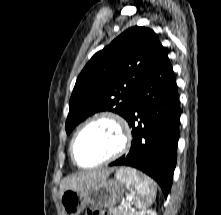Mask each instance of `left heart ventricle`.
Masks as SVG:
<instances>
[{"label": "left heart ventricle", "mask_w": 221, "mask_h": 215, "mask_svg": "<svg viewBox=\"0 0 221 215\" xmlns=\"http://www.w3.org/2000/svg\"><path fill=\"white\" fill-rule=\"evenodd\" d=\"M121 137L118 128L109 121H97L85 128L75 142V155L82 165L95 164L119 147Z\"/></svg>", "instance_id": "b2bd125f"}]
</instances>
